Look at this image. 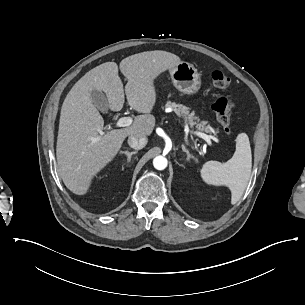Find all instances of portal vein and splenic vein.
I'll return each mask as SVG.
<instances>
[{
  "instance_id": "obj_1",
  "label": "portal vein and splenic vein",
  "mask_w": 305,
  "mask_h": 305,
  "mask_svg": "<svg viewBox=\"0 0 305 305\" xmlns=\"http://www.w3.org/2000/svg\"><path fill=\"white\" fill-rule=\"evenodd\" d=\"M131 124H132V118H131V117H122V118H120V119L118 120V122H117L116 125H117L118 127H127V126H130ZM185 131H186V132L189 131V128H188L187 125L185 126ZM99 133H100L101 135L104 134L103 131H100ZM195 134H196L198 137L204 139L208 144H211V139H212V136H211V135H207V134L202 133V132H195Z\"/></svg>"
}]
</instances>
